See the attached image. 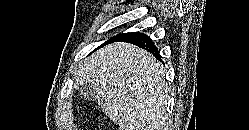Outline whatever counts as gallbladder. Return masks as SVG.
Segmentation results:
<instances>
[{
  "mask_svg": "<svg viewBox=\"0 0 249 130\" xmlns=\"http://www.w3.org/2000/svg\"><path fill=\"white\" fill-rule=\"evenodd\" d=\"M81 95L89 101H94L96 99V87L92 83H86L81 88Z\"/></svg>",
  "mask_w": 249,
  "mask_h": 130,
  "instance_id": "obj_1",
  "label": "gallbladder"
}]
</instances>
